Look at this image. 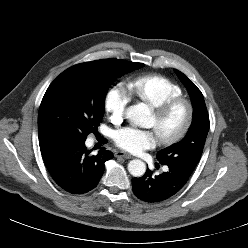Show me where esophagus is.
Here are the masks:
<instances>
[{"instance_id":"34e87169","label":"esophagus","mask_w":248,"mask_h":248,"mask_svg":"<svg viewBox=\"0 0 248 248\" xmlns=\"http://www.w3.org/2000/svg\"><path fill=\"white\" fill-rule=\"evenodd\" d=\"M115 157H123V158H126V159H131L133 158V156L127 152H124V151H117L115 152Z\"/></svg>"}]
</instances>
